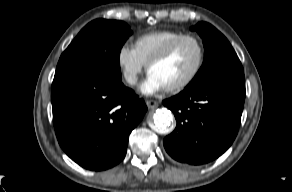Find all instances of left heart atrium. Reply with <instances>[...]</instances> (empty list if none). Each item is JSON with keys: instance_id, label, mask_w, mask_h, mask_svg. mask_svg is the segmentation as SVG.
I'll use <instances>...</instances> for the list:
<instances>
[{"instance_id": "39dd6f15", "label": "left heart atrium", "mask_w": 292, "mask_h": 192, "mask_svg": "<svg viewBox=\"0 0 292 192\" xmlns=\"http://www.w3.org/2000/svg\"><path fill=\"white\" fill-rule=\"evenodd\" d=\"M166 87L163 83L152 73H148L146 79L142 82L140 90L146 95H152L164 90Z\"/></svg>"}]
</instances>
